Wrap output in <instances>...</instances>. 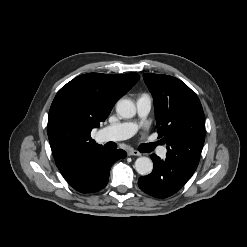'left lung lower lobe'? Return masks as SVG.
<instances>
[{"mask_svg": "<svg viewBox=\"0 0 247 247\" xmlns=\"http://www.w3.org/2000/svg\"><path fill=\"white\" fill-rule=\"evenodd\" d=\"M151 158L153 171L140 177L138 185L142 191L157 198H165L178 191L195 172L177 158L166 155V159L161 160L156 154H152Z\"/></svg>", "mask_w": 247, "mask_h": 247, "instance_id": "1", "label": "left lung lower lobe"}]
</instances>
